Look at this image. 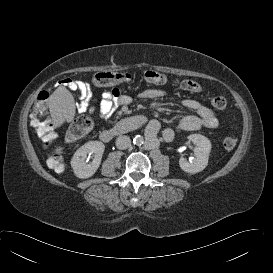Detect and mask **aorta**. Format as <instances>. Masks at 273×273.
Wrapping results in <instances>:
<instances>
[{"label": "aorta", "instance_id": "aorta-1", "mask_svg": "<svg viewBox=\"0 0 273 273\" xmlns=\"http://www.w3.org/2000/svg\"><path fill=\"white\" fill-rule=\"evenodd\" d=\"M133 142H134V144H136V145H141V144L144 143V139H143L142 136L137 135V136L134 137Z\"/></svg>", "mask_w": 273, "mask_h": 273}]
</instances>
